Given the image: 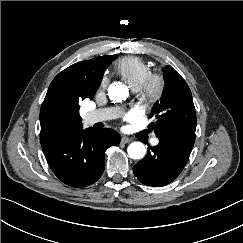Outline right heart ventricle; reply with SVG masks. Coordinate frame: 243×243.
<instances>
[{
	"label": "right heart ventricle",
	"instance_id": "right-heart-ventricle-1",
	"mask_svg": "<svg viewBox=\"0 0 243 243\" xmlns=\"http://www.w3.org/2000/svg\"><path fill=\"white\" fill-rule=\"evenodd\" d=\"M115 71L133 90H137L152 69L142 59L128 56L117 61Z\"/></svg>",
	"mask_w": 243,
	"mask_h": 243
}]
</instances>
